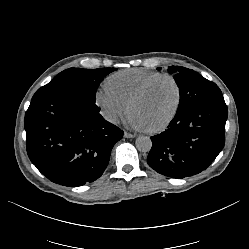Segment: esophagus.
Here are the masks:
<instances>
[{"mask_svg":"<svg viewBox=\"0 0 249 249\" xmlns=\"http://www.w3.org/2000/svg\"><path fill=\"white\" fill-rule=\"evenodd\" d=\"M124 137H125V138H135L136 135H135V134L128 133V132H124Z\"/></svg>","mask_w":249,"mask_h":249,"instance_id":"34e87169","label":"esophagus"}]
</instances>
